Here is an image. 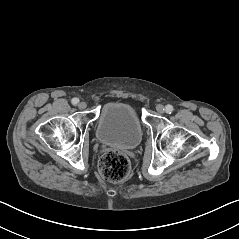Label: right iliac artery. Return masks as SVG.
I'll return each instance as SVG.
<instances>
[{"label":"right iliac artery","instance_id":"82829eb1","mask_svg":"<svg viewBox=\"0 0 239 239\" xmlns=\"http://www.w3.org/2000/svg\"><path fill=\"white\" fill-rule=\"evenodd\" d=\"M71 102H72L73 105H77L78 102H79V99L78 98H73Z\"/></svg>","mask_w":239,"mask_h":239}]
</instances>
